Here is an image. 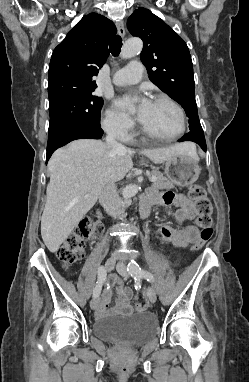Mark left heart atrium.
<instances>
[{"mask_svg": "<svg viewBox=\"0 0 249 382\" xmlns=\"http://www.w3.org/2000/svg\"><path fill=\"white\" fill-rule=\"evenodd\" d=\"M133 103H134V98L131 96H124L119 98L116 101L117 107L121 109L122 111H128L132 107ZM150 105H151V102L148 99L142 98L140 100L137 107V113H136V116L140 121L143 120Z\"/></svg>", "mask_w": 249, "mask_h": 382, "instance_id": "39dd6f15", "label": "left heart atrium"}]
</instances>
